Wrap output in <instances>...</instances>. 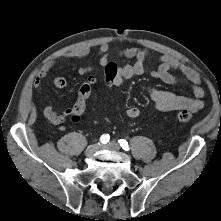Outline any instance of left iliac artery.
<instances>
[{
  "label": "left iliac artery",
  "mask_w": 221,
  "mask_h": 221,
  "mask_svg": "<svg viewBox=\"0 0 221 221\" xmlns=\"http://www.w3.org/2000/svg\"><path fill=\"white\" fill-rule=\"evenodd\" d=\"M118 142L120 143V146L125 150L128 151L129 150V146H128V142L124 139H120L118 140Z\"/></svg>",
  "instance_id": "left-iliac-artery-1"
}]
</instances>
